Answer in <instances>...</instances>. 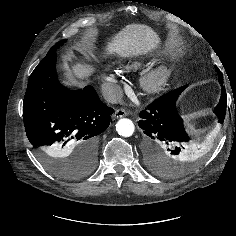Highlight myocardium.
<instances>
[{"label":"myocardium","instance_id":"1","mask_svg":"<svg viewBox=\"0 0 236 236\" xmlns=\"http://www.w3.org/2000/svg\"><path fill=\"white\" fill-rule=\"evenodd\" d=\"M172 73L170 65H159L148 71L142 80L143 88L150 94L159 93L166 86Z\"/></svg>","mask_w":236,"mask_h":236}]
</instances>
